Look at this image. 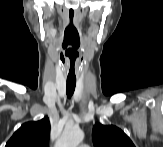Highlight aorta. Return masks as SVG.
<instances>
[{"mask_svg": "<svg viewBox=\"0 0 163 147\" xmlns=\"http://www.w3.org/2000/svg\"><path fill=\"white\" fill-rule=\"evenodd\" d=\"M84 138V133L76 127L65 128L56 143V147H77Z\"/></svg>", "mask_w": 163, "mask_h": 147, "instance_id": "762f6f07", "label": "aorta"}]
</instances>
